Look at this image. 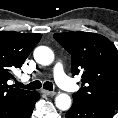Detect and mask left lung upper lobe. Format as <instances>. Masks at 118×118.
<instances>
[{
  "mask_svg": "<svg viewBox=\"0 0 118 118\" xmlns=\"http://www.w3.org/2000/svg\"><path fill=\"white\" fill-rule=\"evenodd\" d=\"M54 38L71 54L72 74H81L73 99L118 109V50L102 35L89 32L56 33Z\"/></svg>",
  "mask_w": 118,
  "mask_h": 118,
  "instance_id": "left-lung-upper-lobe-1",
  "label": "left lung upper lobe"
}]
</instances>
